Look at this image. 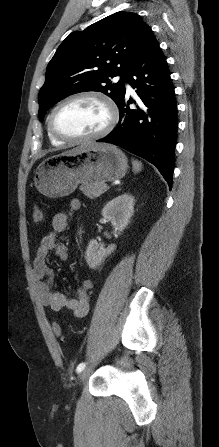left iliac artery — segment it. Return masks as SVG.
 Segmentation results:
<instances>
[{
	"instance_id": "1",
	"label": "left iliac artery",
	"mask_w": 219,
	"mask_h": 447,
	"mask_svg": "<svg viewBox=\"0 0 219 447\" xmlns=\"http://www.w3.org/2000/svg\"><path fill=\"white\" fill-rule=\"evenodd\" d=\"M85 366V363H80L76 368L77 373L81 372L85 368Z\"/></svg>"
}]
</instances>
